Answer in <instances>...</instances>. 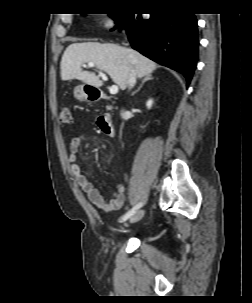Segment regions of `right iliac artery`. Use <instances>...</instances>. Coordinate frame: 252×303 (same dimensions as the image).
I'll return each mask as SVG.
<instances>
[{
    "label": "right iliac artery",
    "instance_id": "82829eb1",
    "mask_svg": "<svg viewBox=\"0 0 252 303\" xmlns=\"http://www.w3.org/2000/svg\"><path fill=\"white\" fill-rule=\"evenodd\" d=\"M141 206L142 203H138L134 208L129 210L125 215L121 217V222L126 221L128 218H130Z\"/></svg>",
    "mask_w": 252,
    "mask_h": 303
}]
</instances>
